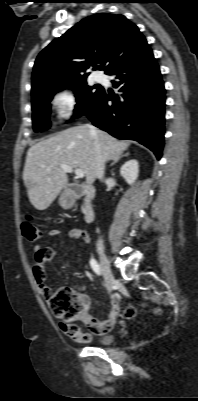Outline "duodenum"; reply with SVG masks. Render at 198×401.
<instances>
[{"mask_svg": "<svg viewBox=\"0 0 198 401\" xmlns=\"http://www.w3.org/2000/svg\"><path fill=\"white\" fill-rule=\"evenodd\" d=\"M84 198L83 219L86 223H92L95 220L96 212L93 206L95 189L89 185L74 184L69 186L67 203L73 204L78 198Z\"/></svg>", "mask_w": 198, "mask_h": 401, "instance_id": "1", "label": "duodenum"}]
</instances>
